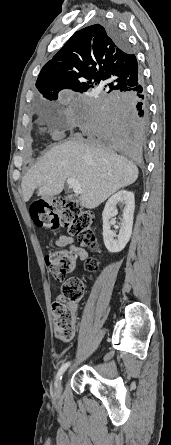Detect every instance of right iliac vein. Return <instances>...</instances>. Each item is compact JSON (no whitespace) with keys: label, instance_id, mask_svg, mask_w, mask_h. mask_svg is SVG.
I'll list each match as a JSON object with an SVG mask.
<instances>
[{"label":"right iliac vein","instance_id":"63e3f726","mask_svg":"<svg viewBox=\"0 0 171 445\" xmlns=\"http://www.w3.org/2000/svg\"><path fill=\"white\" fill-rule=\"evenodd\" d=\"M61 385H62V378L59 380V382L57 384V391H59L61 389Z\"/></svg>","mask_w":171,"mask_h":445}]
</instances>
